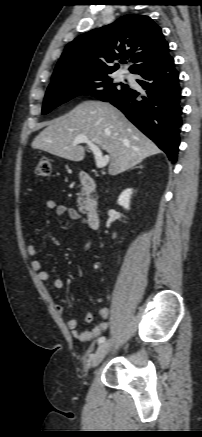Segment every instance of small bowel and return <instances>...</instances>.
I'll return each mask as SVG.
<instances>
[{
	"instance_id": "c3829d8e",
	"label": "small bowel",
	"mask_w": 202,
	"mask_h": 437,
	"mask_svg": "<svg viewBox=\"0 0 202 437\" xmlns=\"http://www.w3.org/2000/svg\"><path fill=\"white\" fill-rule=\"evenodd\" d=\"M46 207L49 210H54L55 214L57 216H67L71 220H78L82 223L86 224V219L83 218L80 213L71 207H68L66 205L57 204L54 200H48L46 202ZM91 240L88 239V241L85 244V249H88L90 247ZM28 253L31 256L37 255V249L34 246V244L30 243L27 247ZM31 268L36 274L37 278L42 282L49 281V274L43 269L42 262L39 259H33L31 262ZM64 285V282L60 278H55L52 281V286L54 289H61ZM57 309L60 312L64 311V308L61 305L57 306ZM98 316L102 319L100 323H98L91 331H84L79 329V321L75 317H71L67 321V326L70 329L72 335L74 338L81 340V341H91L95 340L100 336V334L103 331H106L109 327V323L107 321L109 317V310L105 307L99 309ZM94 320V314L91 311H87L84 314V321L86 323H91Z\"/></svg>"
}]
</instances>
